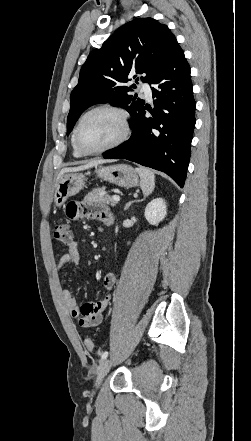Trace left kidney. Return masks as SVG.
Listing matches in <instances>:
<instances>
[{"label": "left kidney", "instance_id": "obj_1", "mask_svg": "<svg viewBox=\"0 0 251 441\" xmlns=\"http://www.w3.org/2000/svg\"><path fill=\"white\" fill-rule=\"evenodd\" d=\"M167 215V206L163 198L152 200L145 208L144 216L152 225H158Z\"/></svg>", "mask_w": 251, "mask_h": 441}]
</instances>
